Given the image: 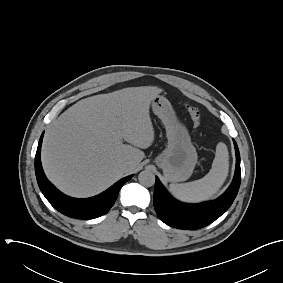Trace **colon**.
<instances>
[{"mask_svg": "<svg viewBox=\"0 0 283 283\" xmlns=\"http://www.w3.org/2000/svg\"><path fill=\"white\" fill-rule=\"evenodd\" d=\"M187 110L191 116V119L194 122V125L198 126L201 122V113L199 109L194 106H187Z\"/></svg>", "mask_w": 283, "mask_h": 283, "instance_id": "5ec220e1", "label": "colon"}]
</instances>
